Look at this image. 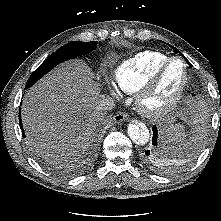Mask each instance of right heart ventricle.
Returning a JSON list of instances; mask_svg holds the SVG:
<instances>
[{"label":"right heart ventricle","instance_id":"1","mask_svg":"<svg viewBox=\"0 0 221 221\" xmlns=\"http://www.w3.org/2000/svg\"><path fill=\"white\" fill-rule=\"evenodd\" d=\"M170 57L147 50L123 61L114 71L118 86L127 93H136Z\"/></svg>","mask_w":221,"mask_h":221}]
</instances>
